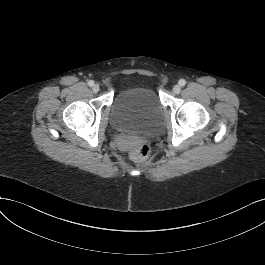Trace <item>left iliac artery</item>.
Returning a JSON list of instances; mask_svg holds the SVG:
<instances>
[{"instance_id":"left-iliac-artery-1","label":"left iliac artery","mask_w":265,"mask_h":265,"mask_svg":"<svg viewBox=\"0 0 265 265\" xmlns=\"http://www.w3.org/2000/svg\"><path fill=\"white\" fill-rule=\"evenodd\" d=\"M178 83L181 87L186 85V81L184 79H180Z\"/></svg>"}]
</instances>
